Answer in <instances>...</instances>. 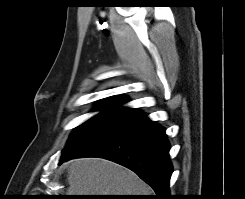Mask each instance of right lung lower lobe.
Listing matches in <instances>:
<instances>
[{
	"label": "right lung lower lobe",
	"instance_id": "98d812e1",
	"mask_svg": "<svg viewBox=\"0 0 245 199\" xmlns=\"http://www.w3.org/2000/svg\"><path fill=\"white\" fill-rule=\"evenodd\" d=\"M169 148L165 129L151 121L147 114L138 113L93 143L62 157L59 164L80 157L105 158L134 171L153 188L154 199H171L169 182L173 169Z\"/></svg>",
	"mask_w": 245,
	"mask_h": 199
}]
</instances>
